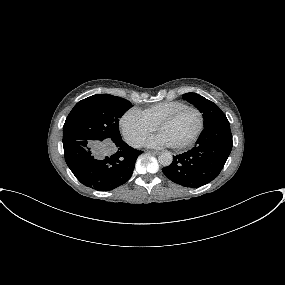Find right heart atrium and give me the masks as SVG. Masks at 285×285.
Listing matches in <instances>:
<instances>
[{"label":"right heart atrium","instance_id":"1","mask_svg":"<svg viewBox=\"0 0 285 285\" xmlns=\"http://www.w3.org/2000/svg\"><path fill=\"white\" fill-rule=\"evenodd\" d=\"M120 128L127 142L140 146L154 132L155 127L149 124L137 110H128L120 119Z\"/></svg>","mask_w":285,"mask_h":285}]
</instances>
